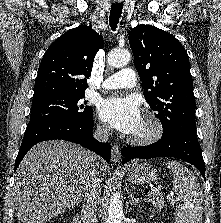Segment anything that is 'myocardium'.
Masks as SVG:
<instances>
[{"mask_svg":"<svg viewBox=\"0 0 221 223\" xmlns=\"http://www.w3.org/2000/svg\"><path fill=\"white\" fill-rule=\"evenodd\" d=\"M143 120L149 125V130L138 136H131L129 142L134 145L144 146L158 141L163 132L164 126L161 119L153 112H147Z\"/></svg>","mask_w":221,"mask_h":223,"instance_id":"myocardium-1","label":"myocardium"}]
</instances>
